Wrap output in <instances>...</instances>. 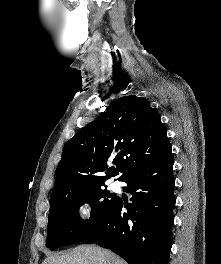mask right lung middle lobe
Wrapping results in <instances>:
<instances>
[{
  "mask_svg": "<svg viewBox=\"0 0 221 264\" xmlns=\"http://www.w3.org/2000/svg\"><path fill=\"white\" fill-rule=\"evenodd\" d=\"M114 197L103 186L68 195L49 211L46 246L50 249L82 241L115 205ZM83 203L91 205L90 218L81 220L78 209Z\"/></svg>",
  "mask_w": 221,
  "mask_h": 264,
  "instance_id": "right-lung-middle-lobe-1",
  "label": "right lung middle lobe"
}]
</instances>
